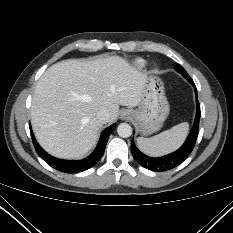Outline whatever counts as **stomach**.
<instances>
[{
  "instance_id": "1",
  "label": "stomach",
  "mask_w": 233,
  "mask_h": 233,
  "mask_svg": "<svg viewBox=\"0 0 233 233\" xmlns=\"http://www.w3.org/2000/svg\"><path fill=\"white\" fill-rule=\"evenodd\" d=\"M169 109L162 81L154 76L147 77L139 107L132 110L138 131L143 135L158 131L168 117Z\"/></svg>"
}]
</instances>
